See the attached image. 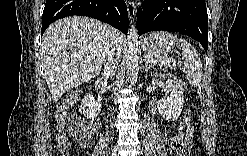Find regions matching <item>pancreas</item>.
Returning a JSON list of instances; mask_svg holds the SVG:
<instances>
[{
  "mask_svg": "<svg viewBox=\"0 0 247 156\" xmlns=\"http://www.w3.org/2000/svg\"><path fill=\"white\" fill-rule=\"evenodd\" d=\"M169 58L167 56H149V60L153 61L154 63H161L163 60H168Z\"/></svg>",
  "mask_w": 247,
  "mask_h": 156,
  "instance_id": "1",
  "label": "pancreas"
}]
</instances>
